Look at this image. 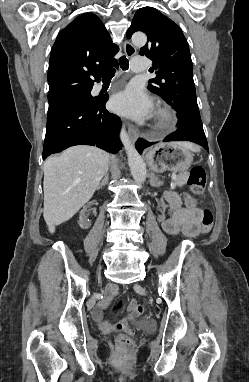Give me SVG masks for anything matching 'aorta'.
Listing matches in <instances>:
<instances>
[{
	"label": "aorta",
	"mask_w": 249,
	"mask_h": 382,
	"mask_svg": "<svg viewBox=\"0 0 249 382\" xmlns=\"http://www.w3.org/2000/svg\"><path fill=\"white\" fill-rule=\"evenodd\" d=\"M146 42H147V37L145 34L143 33L133 34L132 43L134 45L144 46ZM120 140L122 144L124 145L125 151L127 153L128 164H129L130 171L134 180L138 183H143L147 176L146 165L142 157L140 156V154L134 148L124 127H122L120 132Z\"/></svg>",
	"instance_id": "obj_1"
}]
</instances>
